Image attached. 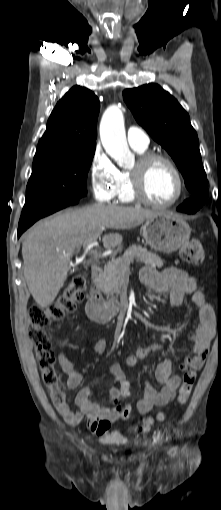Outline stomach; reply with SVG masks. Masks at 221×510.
Instances as JSON below:
<instances>
[{
	"mask_svg": "<svg viewBox=\"0 0 221 510\" xmlns=\"http://www.w3.org/2000/svg\"><path fill=\"white\" fill-rule=\"evenodd\" d=\"M142 232L146 243L152 249L169 254L177 251L189 240L191 229L181 217L161 213L146 220Z\"/></svg>",
	"mask_w": 221,
	"mask_h": 510,
	"instance_id": "0dacf381",
	"label": "stomach"
}]
</instances>
